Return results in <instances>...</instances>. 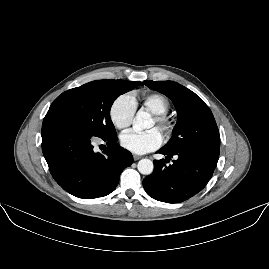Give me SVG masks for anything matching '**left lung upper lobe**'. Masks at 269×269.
Here are the masks:
<instances>
[{"label": "left lung upper lobe", "mask_w": 269, "mask_h": 269, "mask_svg": "<svg viewBox=\"0 0 269 269\" xmlns=\"http://www.w3.org/2000/svg\"><path fill=\"white\" fill-rule=\"evenodd\" d=\"M175 105L178 121L173 135L164 146L167 149L205 151L219 156L220 138L210 108L194 92L173 81H144Z\"/></svg>", "instance_id": "left-lung-upper-lobe-1"}]
</instances>
